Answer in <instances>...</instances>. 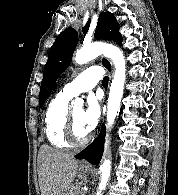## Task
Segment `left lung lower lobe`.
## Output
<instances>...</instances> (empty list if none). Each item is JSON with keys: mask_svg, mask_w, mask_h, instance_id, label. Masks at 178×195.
I'll return each mask as SVG.
<instances>
[{"mask_svg": "<svg viewBox=\"0 0 178 195\" xmlns=\"http://www.w3.org/2000/svg\"><path fill=\"white\" fill-rule=\"evenodd\" d=\"M105 133L106 129L103 125V128L98 137L87 148H85L79 154L75 155V158L86 159L91 164L98 165L104 150Z\"/></svg>", "mask_w": 178, "mask_h": 195, "instance_id": "0a47b994", "label": "left lung lower lobe"}]
</instances>
